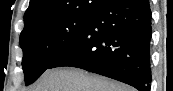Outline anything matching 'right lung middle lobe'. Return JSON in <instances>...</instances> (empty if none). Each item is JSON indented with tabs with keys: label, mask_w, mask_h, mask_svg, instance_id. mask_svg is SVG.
Instances as JSON below:
<instances>
[{
	"label": "right lung middle lobe",
	"mask_w": 173,
	"mask_h": 91,
	"mask_svg": "<svg viewBox=\"0 0 173 91\" xmlns=\"http://www.w3.org/2000/svg\"><path fill=\"white\" fill-rule=\"evenodd\" d=\"M100 2V1H97ZM94 11L46 19L25 28L20 36L25 83H33L84 32Z\"/></svg>",
	"instance_id": "dd1d6c3e"
}]
</instances>
